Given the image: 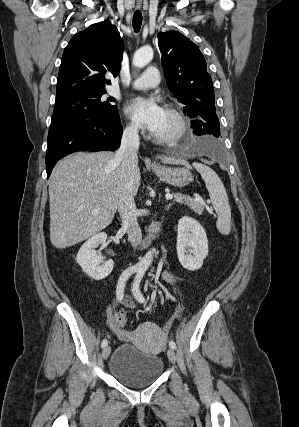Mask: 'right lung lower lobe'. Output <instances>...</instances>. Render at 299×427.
<instances>
[{"mask_svg": "<svg viewBox=\"0 0 299 427\" xmlns=\"http://www.w3.org/2000/svg\"><path fill=\"white\" fill-rule=\"evenodd\" d=\"M122 132L120 119L74 115L51 122L46 151L47 177L56 162L72 152L116 150Z\"/></svg>", "mask_w": 299, "mask_h": 427, "instance_id": "1", "label": "right lung lower lobe"}]
</instances>
